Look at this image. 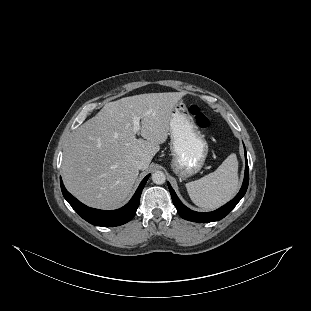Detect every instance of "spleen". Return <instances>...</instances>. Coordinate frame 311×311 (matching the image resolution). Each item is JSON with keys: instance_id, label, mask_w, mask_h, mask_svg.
I'll return each mask as SVG.
<instances>
[{"instance_id": "1", "label": "spleen", "mask_w": 311, "mask_h": 311, "mask_svg": "<svg viewBox=\"0 0 311 311\" xmlns=\"http://www.w3.org/2000/svg\"><path fill=\"white\" fill-rule=\"evenodd\" d=\"M238 163L230 154L213 172L185 184L192 202L205 209H214L233 197L238 189Z\"/></svg>"}]
</instances>
